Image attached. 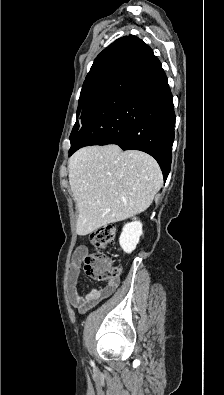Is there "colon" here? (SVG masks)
<instances>
[{"instance_id": "1", "label": "colon", "mask_w": 224, "mask_h": 395, "mask_svg": "<svg viewBox=\"0 0 224 395\" xmlns=\"http://www.w3.org/2000/svg\"><path fill=\"white\" fill-rule=\"evenodd\" d=\"M115 231L113 226H105L96 229L89 236L90 243L96 252L85 257L84 269L86 274L97 282L109 283L117 279L119 275V268L113 266L110 260L101 254V251L113 241Z\"/></svg>"}]
</instances>
